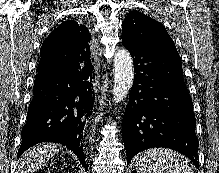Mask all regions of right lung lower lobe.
<instances>
[{
    "instance_id": "right-lung-lower-lobe-1",
    "label": "right lung lower lobe",
    "mask_w": 219,
    "mask_h": 173,
    "mask_svg": "<svg viewBox=\"0 0 219 173\" xmlns=\"http://www.w3.org/2000/svg\"><path fill=\"white\" fill-rule=\"evenodd\" d=\"M92 69L91 62L77 54L59 63L39 62L18 158L37 143L55 142L72 150L87 169L83 141L94 104Z\"/></svg>"
}]
</instances>
